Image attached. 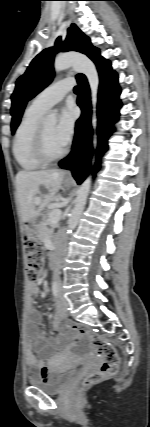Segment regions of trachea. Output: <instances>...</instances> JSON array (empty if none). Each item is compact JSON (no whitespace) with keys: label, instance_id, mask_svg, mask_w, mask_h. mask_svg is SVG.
Returning a JSON list of instances; mask_svg holds the SVG:
<instances>
[{"label":"trachea","instance_id":"1","mask_svg":"<svg viewBox=\"0 0 150 427\" xmlns=\"http://www.w3.org/2000/svg\"><path fill=\"white\" fill-rule=\"evenodd\" d=\"M79 90H80V88H79L78 86H75V88H74V92L78 93V92H79Z\"/></svg>","mask_w":150,"mask_h":427}]
</instances>
